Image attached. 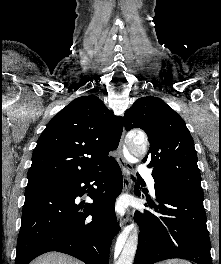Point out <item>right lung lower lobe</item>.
<instances>
[{
    "label": "right lung lower lobe",
    "mask_w": 221,
    "mask_h": 264,
    "mask_svg": "<svg viewBox=\"0 0 221 264\" xmlns=\"http://www.w3.org/2000/svg\"><path fill=\"white\" fill-rule=\"evenodd\" d=\"M122 186L121 169L113 159L89 175L26 189L15 264H28L49 251L86 264H108L112 239L119 231L114 202ZM86 192L93 203H76Z\"/></svg>",
    "instance_id": "1"
}]
</instances>
